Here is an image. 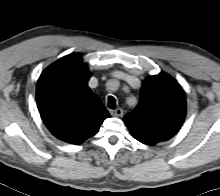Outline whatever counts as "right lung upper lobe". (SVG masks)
Here are the masks:
<instances>
[{
    "mask_svg": "<svg viewBox=\"0 0 220 196\" xmlns=\"http://www.w3.org/2000/svg\"><path fill=\"white\" fill-rule=\"evenodd\" d=\"M91 76L78 53L47 67L37 84V105L49 131L58 139L81 144L94 136L110 115L87 83Z\"/></svg>",
    "mask_w": 220,
    "mask_h": 196,
    "instance_id": "cb5924a9",
    "label": "right lung upper lobe"
}]
</instances>
